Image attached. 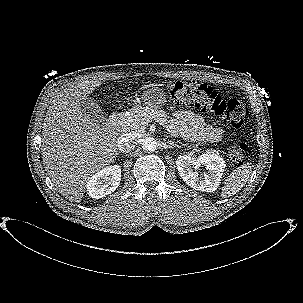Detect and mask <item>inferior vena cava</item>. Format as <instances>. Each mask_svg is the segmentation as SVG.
<instances>
[{"instance_id": "obj_1", "label": "inferior vena cava", "mask_w": 303, "mask_h": 303, "mask_svg": "<svg viewBox=\"0 0 303 303\" xmlns=\"http://www.w3.org/2000/svg\"><path fill=\"white\" fill-rule=\"evenodd\" d=\"M117 147L121 152H129L134 148L133 141L129 134L121 135L117 140Z\"/></svg>"}]
</instances>
